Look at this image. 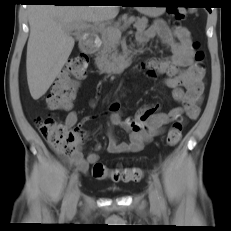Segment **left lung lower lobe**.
Wrapping results in <instances>:
<instances>
[{
    "instance_id": "0a47b994",
    "label": "left lung lower lobe",
    "mask_w": 231,
    "mask_h": 231,
    "mask_svg": "<svg viewBox=\"0 0 231 231\" xmlns=\"http://www.w3.org/2000/svg\"><path fill=\"white\" fill-rule=\"evenodd\" d=\"M208 11L211 12V8L210 7H207Z\"/></svg>"
}]
</instances>
